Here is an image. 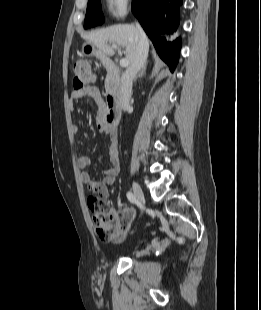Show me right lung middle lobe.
Instances as JSON below:
<instances>
[{
    "label": "right lung middle lobe",
    "instance_id": "obj_1",
    "mask_svg": "<svg viewBox=\"0 0 261 310\" xmlns=\"http://www.w3.org/2000/svg\"><path fill=\"white\" fill-rule=\"evenodd\" d=\"M104 22L101 11V0H88L84 28L100 25Z\"/></svg>",
    "mask_w": 261,
    "mask_h": 310
}]
</instances>
